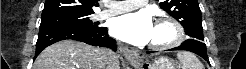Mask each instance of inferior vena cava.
<instances>
[{
  "mask_svg": "<svg viewBox=\"0 0 246 69\" xmlns=\"http://www.w3.org/2000/svg\"><path fill=\"white\" fill-rule=\"evenodd\" d=\"M108 57H109V64L112 66V67H108V69H114L115 67L113 66H115L118 63V57L116 53L113 51L108 52Z\"/></svg>",
  "mask_w": 246,
  "mask_h": 69,
  "instance_id": "1",
  "label": "inferior vena cava"
}]
</instances>
